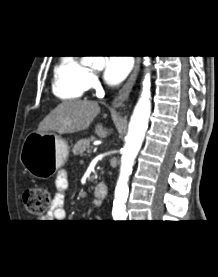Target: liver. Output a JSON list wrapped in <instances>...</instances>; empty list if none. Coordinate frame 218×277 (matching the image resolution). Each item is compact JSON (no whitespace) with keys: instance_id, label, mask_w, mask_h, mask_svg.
Listing matches in <instances>:
<instances>
[{"instance_id":"obj_1","label":"liver","mask_w":218,"mask_h":277,"mask_svg":"<svg viewBox=\"0 0 218 277\" xmlns=\"http://www.w3.org/2000/svg\"><path fill=\"white\" fill-rule=\"evenodd\" d=\"M99 112V104L95 101H63L40 122L36 132H79L87 129ZM109 133L102 124L95 126V134L100 138H105Z\"/></svg>"}]
</instances>
